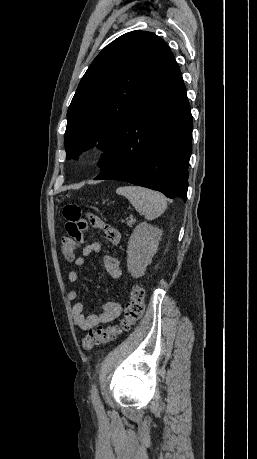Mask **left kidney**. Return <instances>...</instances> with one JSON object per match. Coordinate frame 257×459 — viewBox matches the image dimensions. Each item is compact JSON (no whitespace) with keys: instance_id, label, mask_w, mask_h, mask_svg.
Masks as SVG:
<instances>
[{"instance_id":"5707ae66","label":"left kidney","mask_w":257,"mask_h":459,"mask_svg":"<svg viewBox=\"0 0 257 459\" xmlns=\"http://www.w3.org/2000/svg\"><path fill=\"white\" fill-rule=\"evenodd\" d=\"M162 233V230L146 222L135 227L127 248V270L132 277L139 278L144 275L157 252Z\"/></svg>"}]
</instances>
